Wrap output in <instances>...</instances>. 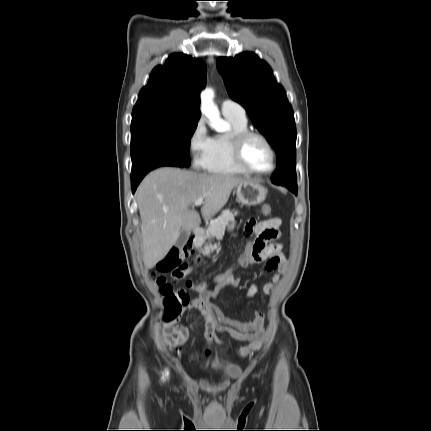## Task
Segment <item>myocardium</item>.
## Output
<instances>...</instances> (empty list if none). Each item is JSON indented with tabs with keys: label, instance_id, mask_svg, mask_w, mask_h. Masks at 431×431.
Listing matches in <instances>:
<instances>
[{
	"label": "myocardium",
	"instance_id": "f54148a6",
	"mask_svg": "<svg viewBox=\"0 0 431 431\" xmlns=\"http://www.w3.org/2000/svg\"><path fill=\"white\" fill-rule=\"evenodd\" d=\"M251 138L260 139L269 149V151L271 153V157H272V165L268 170H264V171L256 170V169L251 168L246 163L244 156H243V150H244L245 144ZM231 155H232V159H233L234 163L241 170H243L245 173H249V174H256V175L270 174L275 170L276 165H277V154H276V151H275L273 145L267 139V137H265L263 134L256 132V131L246 130V131H242V132L234 134L231 137Z\"/></svg>",
	"mask_w": 431,
	"mask_h": 431
}]
</instances>
